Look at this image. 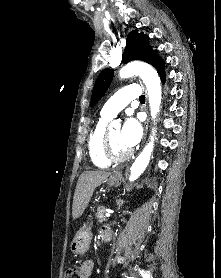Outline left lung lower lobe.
<instances>
[{"mask_svg": "<svg viewBox=\"0 0 221 278\" xmlns=\"http://www.w3.org/2000/svg\"><path fill=\"white\" fill-rule=\"evenodd\" d=\"M160 77H161V80L163 82H165V73H164V67H162L159 71H158Z\"/></svg>", "mask_w": 221, "mask_h": 278, "instance_id": "0a47b994", "label": "left lung lower lobe"}]
</instances>
